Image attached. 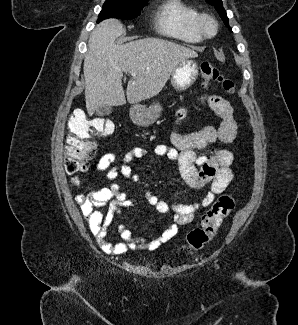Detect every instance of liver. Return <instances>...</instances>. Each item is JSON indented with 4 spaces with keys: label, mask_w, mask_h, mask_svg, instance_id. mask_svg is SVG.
Instances as JSON below:
<instances>
[{
    "label": "liver",
    "mask_w": 298,
    "mask_h": 325,
    "mask_svg": "<svg viewBox=\"0 0 298 325\" xmlns=\"http://www.w3.org/2000/svg\"><path fill=\"white\" fill-rule=\"evenodd\" d=\"M126 30L117 18H106L92 30L84 58L85 104L89 116L98 106L136 104L161 92L177 64L184 58H196L193 48L164 38H140L117 44ZM123 72L131 76L122 86Z\"/></svg>",
    "instance_id": "obj_1"
}]
</instances>
